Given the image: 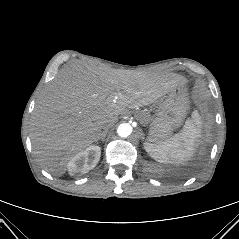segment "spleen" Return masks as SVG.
Wrapping results in <instances>:
<instances>
[{
  "instance_id": "spleen-1",
  "label": "spleen",
  "mask_w": 239,
  "mask_h": 239,
  "mask_svg": "<svg viewBox=\"0 0 239 239\" xmlns=\"http://www.w3.org/2000/svg\"><path fill=\"white\" fill-rule=\"evenodd\" d=\"M200 135L201 117L195 110L179 133L162 142H145L144 148L150 157L160 163H181L192 156L195 142Z\"/></svg>"
}]
</instances>
